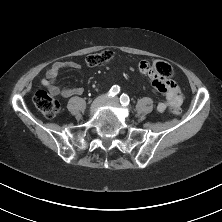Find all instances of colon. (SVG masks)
<instances>
[{"label":"colon","instance_id":"obj_1","mask_svg":"<svg viewBox=\"0 0 222 222\" xmlns=\"http://www.w3.org/2000/svg\"><path fill=\"white\" fill-rule=\"evenodd\" d=\"M111 58V51L102 50L88 55L86 58V64L93 67L104 66L111 60ZM148 64L152 66L153 70L164 76L166 80H170L174 75L172 66L166 61L157 60L152 63L148 62ZM33 101L37 109L47 118H54L59 112V102L50 93L44 90L37 91ZM170 111L172 114L180 113V109L178 108H171Z\"/></svg>","mask_w":222,"mask_h":222}]
</instances>
